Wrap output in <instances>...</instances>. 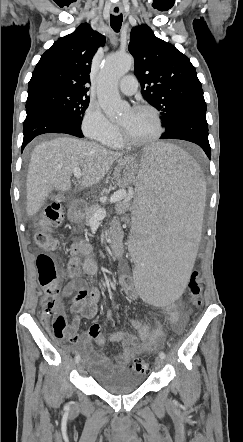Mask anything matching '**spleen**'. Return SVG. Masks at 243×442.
Listing matches in <instances>:
<instances>
[{
	"label": "spleen",
	"mask_w": 243,
	"mask_h": 442,
	"mask_svg": "<svg viewBox=\"0 0 243 442\" xmlns=\"http://www.w3.org/2000/svg\"><path fill=\"white\" fill-rule=\"evenodd\" d=\"M132 219L133 286L150 307H170L186 291L199 239L205 178L196 161L168 143L141 147ZM155 192V193H142Z\"/></svg>",
	"instance_id": "spleen-1"
}]
</instances>
